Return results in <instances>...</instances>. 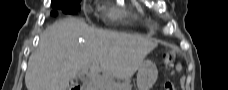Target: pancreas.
<instances>
[{"mask_svg":"<svg viewBox=\"0 0 228 90\" xmlns=\"http://www.w3.org/2000/svg\"><path fill=\"white\" fill-rule=\"evenodd\" d=\"M113 87L114 90H131V84L125 82H113L104 77L93 79L88 85L89 90H97L99 88Z\"/></svg>","mask_w":228,"mask_h":90,"instance_id":"cf45deb5","label":"pancreas"}]
</instances>
